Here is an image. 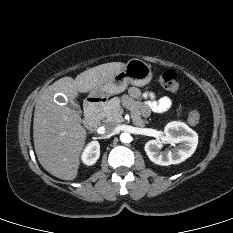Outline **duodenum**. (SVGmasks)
I'll return each instance as SVG.
<instances>
[{
	"mask_svg": "<svg viewBox=\"0 0 233 233\" xmlns=\"http://www.w3.org/2000/svg\"><path fill=\"white\" fill-rule=\"evenodd\" d=\"M106 99L92 98L85 104L83 124L87 129H95L99 124V113L104 106Z\"/></svg>",
	"mask_w": 233,
	"mask_h": 233,
	"instance_id": "duodenum-1",
	"label": "duodenum"
}]
</instances>
